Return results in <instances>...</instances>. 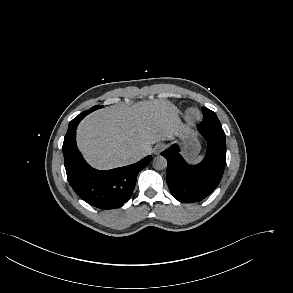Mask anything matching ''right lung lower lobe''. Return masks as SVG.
Listing matches in <instances>:
<instances>
[{"label":"right lung lower lobe","mask_w":293,"mask_h":293,"mask_svg":"<svg viewBox=\"0 0 293 293\" xmlns=\"http://www.w3.org/2000/svg\"><path fill=\"white\" fill-rule=\"evenodd\" d=\"M89 113V110L83 112L69 123L62 147L67 178L76 194L88 204L100 209L119 208L129 200L138 173L152 157L149 155L135 164L107 171L92 168L75 144L76 128Z\"/></svg>","instance_id":"98d812e1"}]
</instances>
